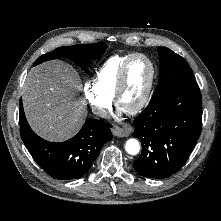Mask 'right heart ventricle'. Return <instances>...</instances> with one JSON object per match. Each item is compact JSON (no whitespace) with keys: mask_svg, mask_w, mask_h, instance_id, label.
Returning <instances> with one entry per match:
<instances>
[{"mask_svg":"<svg viewBox=\"0 0 221 221\" xmlns=\"http://www.w3.org/2000/svg\"><path fill=\"white\" fill-rule=\"evenodd\" d=\"M131 55H113L97 70L93 83L102 94L113 99L122 66Z\"/></svg>","mask_w":221,"mask_h":221,"instance_id":"e07e8e85","label":"right heart ventricle"}]
</instances>
